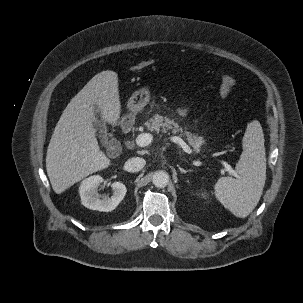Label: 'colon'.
<instances>
[{"label":"colon","mask_w":303,"mask_h":303,"mask_svg":"<svg viewBox=\"0 0 303 303\" xmlns=\"http://www.w3.org/2000/svg\"><path fill=\"white\" fill-rule=\"evenodd\" d=\"M151 64L152 61H142L134 65L131 69L133 71H139L149 67ZM219 81H220V86H219L220 94L224 99H227L234 90L235 81L231 76L224 73L219 75Z\"/></svg>","instance_id":"5ec220e1"}]
</instances>
